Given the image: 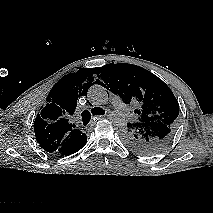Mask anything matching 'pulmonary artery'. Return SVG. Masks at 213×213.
Here are the masks:
<instances>
[{"label":"pulmonary artery","mask_w":213,"mask_h":213,"mask_svg":"<svg viewBox=\"0 0 213 213\" xmlns=\"http://www.w3.org/2000/svg\"><path fill=\"white\" fill-rule=\"evenodd\" d=\"M111 101H112L113 105L120 112H122L124 115H129L128 108L126 107V105L123 103V101L121 100V98L118 95H112L111 96Z\"/></svg>","instance_id":"obj_1"}]
</instances>
